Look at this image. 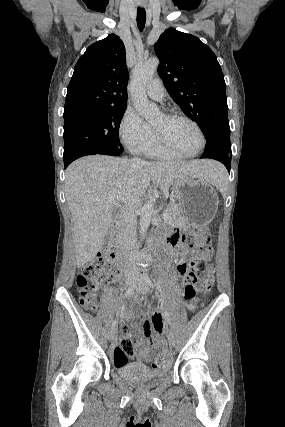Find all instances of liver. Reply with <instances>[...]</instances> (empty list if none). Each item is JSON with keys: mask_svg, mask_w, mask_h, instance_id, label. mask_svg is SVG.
<instances>
[{"mask_svg": "<svg viewBox=\"0 0 285 427\" xmlns=\"http://www.w3.org/2000/svg\"><path fill=\"white\" fill-rule=\"evenodd\" d=\"M217 167L221 165L210 160L136 163L105 155L86 156L71 163L65 172V194L74 223L77 266L99 252L116 202L137 208L151 181L165 194L176 180L186 176L212 184Z\"/></svg>", "mask_w": 285, "mask_h": 427, "instance_id": "6515ba94", "label": "liver"}]
</instances>
